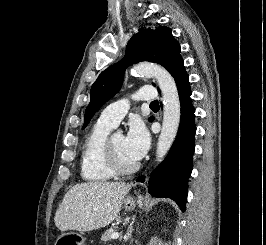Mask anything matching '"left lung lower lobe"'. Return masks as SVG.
<instances>
[{"label": "left lung lower lobe", "mask_w": 266, "mask_h": 245, "mask_svg": "<svg viewBox=\"0 0 266 245\" xmlns=\"http://www.w3.org/2000/svg\"><path fill=\"white\" fill-rule=\"evenodd\" d=\"M171 75L178 88L181 120L176 140L168 156L150 176L148 191L154 197L173 199L184 212L187 201V182L191 175L192 157L195 150V109L190 98L189 77L182 59L175 64ZM150 121H153V118ZM144 179L145 177L141 176L137 182H144Z\"/></svg>", "instance_id": "left-lung-lower-lobe-1"}]
</instances>
